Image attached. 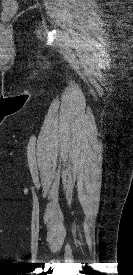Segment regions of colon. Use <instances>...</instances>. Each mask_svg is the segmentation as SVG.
Segmentation results:
<instances>
[{
  "instance_id": "obj_1",
  "label": "colon",
  "mask_w": 133,
  "mask_h": 275,
  "mask_svg": "<svg viewBox=\"0 0 133 275\" xmlns=\"http://www.w3.org/2000/svg\"><path fill=\"white\" fill-rule=\"evenodd\" d=\"M17 6L15 0H4L2 15L11 17L16 12Z\"/></svg>"
}]
</instances>
